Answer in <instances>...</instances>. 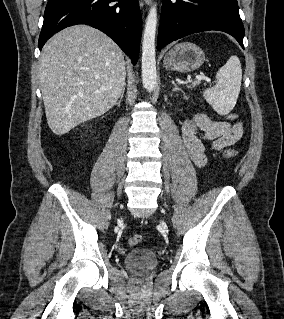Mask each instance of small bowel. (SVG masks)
<instances>
[{
	"mask_svg": "<svg viewBox=\"0 0 284 319\" xmlns=\"http://www.w3.org/2000/svg\"><path fill=\"white\" fill-rule=\"evenodd\" d=\"M181 130L188 155L198 166H204L207 162L205 141L211 142L213 149L222 151L239 141L243 134L241 123L213 120L203 113L186 120Z\"/></svg>",
	"mask_w": 284,
	"mask_h": 319,
	"instance_id": "1",
	"label": "small bowel"
}]
</instances>
